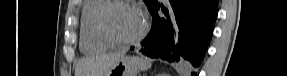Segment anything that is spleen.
Segmentation results:
<instances>
[{
    "label": "spleen",
    "instance_id": "spleen-1",
    "mask_svg": "<svg viewBox=\"0 0 287 76\" xmlns=\"http://www.w3.org/2000/svg\"><path fill=\"white\" fill-rule=\"evenodd\" d=\"M134 58L138 63H140L141 70H147L148 68L151 67V63L147 59L140 58V57H134Z\"/></svg>",
    "mask_w": 287,
    "mask_h": 76
}]
</instances>
